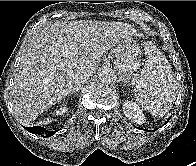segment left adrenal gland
<instances>
[{"instance_id":"a2214340","label":"left adrenal gland","mask_w":196,"mask_h":166,"mask_svg":"<svg viewBox=\"0 0 196 166\" xmlns=\"http://www.w3.org/2000/svg\"><path fill=\"white\" fill-rule=\"evenodd\" d=\"M120 80H121L122 82H124V84L129 85V81H128L127 79H125L123 75L120 76Z\"/></svg>"}]
</instances>
